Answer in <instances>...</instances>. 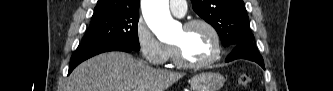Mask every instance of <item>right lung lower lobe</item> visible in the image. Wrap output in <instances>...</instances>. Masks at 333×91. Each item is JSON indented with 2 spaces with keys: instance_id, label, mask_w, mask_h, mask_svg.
<instances>
[{
  "instance_id": "98d812e1",
  "label": "right lung lower lobe",
  "mask_w": 333,
  "mask_h": 91,
  "mask_svg": "<svg viewBox=\"0 0 333 91\" xmlns=\"http://www.w3.org/2000/svg\"><path fill=\"white\" fill-rule=\"evenodd\" d=\"M108 51H124V52H130L134 51L131 48H128L127 46L120 45V44H114V43H106V44H97V45H79L76 49L75 53L71 57L70 60V66L68 74L72 72V70L81 62L84 60L95 56L97 54L108 52Z\"/></svg>"
}]
</instances>
